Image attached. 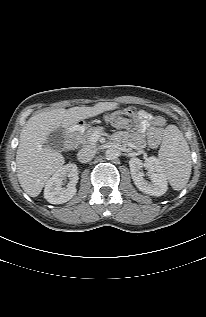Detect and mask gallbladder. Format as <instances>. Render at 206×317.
<instances>
[{"label":"gallbladder","mask_w":206,"mask_h":317,"mask_svg":"<svg viewBox=\"0 0 206 317\" xmlns=\"http://www.w3.org/2000/svg\"><path fill=\"white\" fill-rule=\"evenodd\" d=\"M64 129L58 128L48 135L46 146L54 151H62L65 146Z\"/></svg>","instance_id":"gallbladder-1"}]
</instances>
